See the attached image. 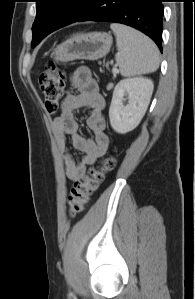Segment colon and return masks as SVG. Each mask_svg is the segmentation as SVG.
<instances>
[{
  "mask_svg": "<svg viewBox=\"0 0 195 299\" xmlns=\"http://www.w3.org/2000/svg\"><path fill=\"white\" fill-rule=\"evenodd\" d=\"M65 81V72L53 62L48 63L45 71L39 76L44 104L50 114H55L58 111ZM114 166V158L105 157L98 166L90 168L85 176L75 181L67 201L70 216L74 217L84 211L90 196L103 182L105 174Z\"/></svg>",
  "mask_w": 195,
  "mask_h": 299,
  "instance_id": "5ec220e1",
  "label": "colon"
}]
</instances>
